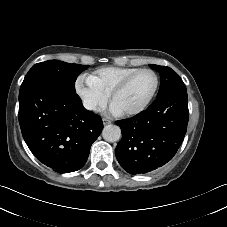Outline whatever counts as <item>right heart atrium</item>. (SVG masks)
Wrapping results in <instances>:
<instances>
[{
    "label": "right heart atrium",
    "instance_id": "right-heart-atrium-1",
    "mask_svg": "<svg viewBox=\"0 0 227 227\" xmlns=\"http://www.w3.org/2000/svg\"><path fill=\"white\" fill-rule=\"evenodd\" d=\"M75 92L83 105L93 111L103 109L109 100V94L91 81L89 77L81 76L78 78Z\"/></svg>",
    "mask_w": 227,
    "mask_h": 227
}]
</instances>
